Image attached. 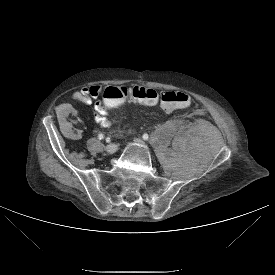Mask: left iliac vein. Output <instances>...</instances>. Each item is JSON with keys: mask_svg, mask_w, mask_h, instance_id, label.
<instances>
[{"mask_svg": "<svg viewBox=\"0 0 275 275\" xmlns=\"http://www.w3.org/2000/svg\"><path fill=\"white\" fill-rule=\"evenodd\" d=\"M134 141L138 144H143V140H141L140 138H135Z\"/></svg>", "mask_w": 275, "mask_h": 275, "instance_id": "left-iliac-vein-1", "label": "left iliac vein"}]
</instances>
